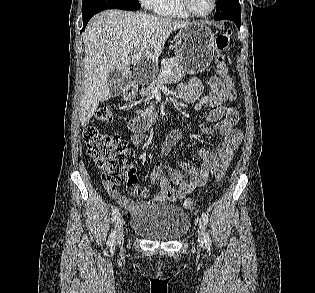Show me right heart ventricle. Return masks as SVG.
Listing matches in <instances>:
<instances>
[{"mask_svg": "<svg viewBox=\"0 0 315 293\" xmlns=\"http://www.w3.org/2000/svg\"><path fill=\"white\" fill-rule=\"evenodd\" d=\"M157 14L173 19H188L191 16L184 10L180 0H158Z\"/></svg>", "mask_w": 315, "mask_h": 293, "instance_id": "1", "label": "right heart ventricle"}]
</instances>
